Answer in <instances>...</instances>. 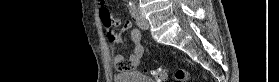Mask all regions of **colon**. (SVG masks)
<instances>
[{
    "instance_id": "obj_1",
    "label": "colon",
    "mask_w": 279,
    "mask_h": 82,
    "mask_svg": "<svg viewBox=\"0 0 279 82\" xmlns=\"http://www.w3.org/2000/svg\"><path fill=\"white\" fill-rule=\"evenodd\" d=\"M100 18L104 26L110 30L114 26V20L106 7L100 8ZM153 81L163 82L168 74V69L165 67L150 70ZM190 74L187 70H178L175 74V82H189Z\"/></svg>"
}]
</instances>
